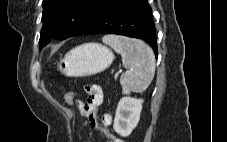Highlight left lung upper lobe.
<instances>
[{
  "label": "left lung upper lobe",
  "mask_w": 227,
  "mask_h": 142,
  "mask_svg": "<svg viewBox=\"0 0 227 142\" xmlns=\"http://www.w3.org/2000/svg\"><path fill=\"white\" fill-rule=\"evenodd\" d=\"M108 0H43L40 49L51 38L64 40L83 27Z\"/></svg>",
  "instance_id": "left-lung-upper-lobe-1"
}]
</instances>
